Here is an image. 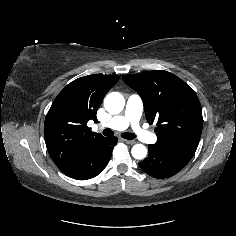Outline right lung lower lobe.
I'll return each instance as SVG.
<instances>
[{
	"label": "right lung lower lobe",
	"mask_w": 236,
	"mask_h": 236,
	"mask_svg": "<svg viewBox=\"0 0 236 236\" xmlns=\"http://www.w3.org/2000/svg\"><path fill=\"white\" fill-rule=\"evenodd\" d=\"M116 143V137H104L74 167L63 173L76 180L97 176L109 162Z\"/></svg>",
	"instance_id": "98d812e1"
}]
</instances>
